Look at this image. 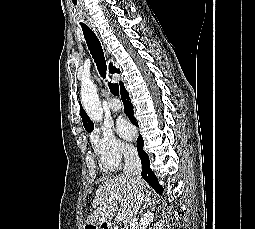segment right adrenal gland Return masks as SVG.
<instances>
[{"mask_svg":"<svg viewBox=\"0 0 255 229\" xmlns=\"http://www.w3.org/2000/svg\"><path fill=\"white\" fill-rule=\"evenodd\" d=\"M158 203V201L156 200V198H151V197H148L146 199V203L145 205L141 208L140 212H139V215H142L143 211L145 209H147L149 206H151L152 204L153 205H156Z\"/></svg>","mask_w":255,"mask_h":229,"instance_id":"1","label":"right adrenal gland"}]
</instances>
